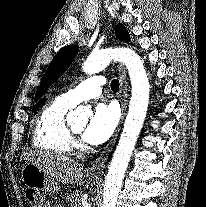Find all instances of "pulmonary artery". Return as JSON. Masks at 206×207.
Wrapping results in <instances>:
<instances>
[{
	"label": "pulmonary artery",
	"mask_w": 206,
	"mask_h": 207,
	"mask_svg": "<svg viewBox=\"0 0 206 207\" xmlns=\"http://www.w3.org/2000/svg\"><path fill=\"white\" fill-rule=\"evenodd\" d=\"M106 83V78L102 75L92 76L75 88L68 90L62 94L66 100L72 105H77L82 101L96 98L101 95L102 85Z\"/></svg>",
	"instance_id": "e3ab8cb5"
}]
</instances>
